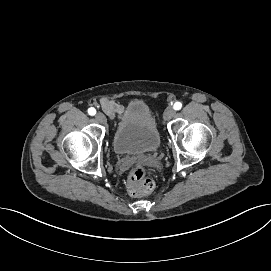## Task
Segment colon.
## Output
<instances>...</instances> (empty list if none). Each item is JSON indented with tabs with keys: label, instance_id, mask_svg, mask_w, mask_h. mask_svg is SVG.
Masks as SVG:
<instances>
[{
	"label": "colon",
	"instance_id": "5ec220e1",
	"mask_svg": "<svg viewBox=\"0 0 271 271\" xmlns=\"http://www.w3.org/2000/svg\"><path fill=\"white\" fill-rule=\"evenodd\" d=\"M155 182L148 176V171L142 164L134 165L127 178L128 192L133 196H143L151 193Z\"/></svg>",
	"mask_w": 271,
	"mask_h": 271
}]
</instances>
